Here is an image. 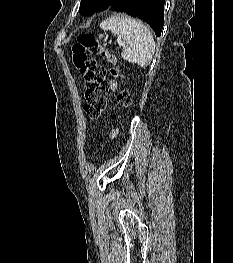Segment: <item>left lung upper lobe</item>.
Listing matches in <instances>:
<instances>
[{
    "mask_svg": "<svg viewBox=\"0 0 233 263\" xmlns=\"http://www.w3.org/2000/svg\"><path fill=\"white\" fill-rule=\"evenodd\" d=\"M115 0H81L80 14L89 15L110 7Z\"/></svg>",
    "mask_w": 233,
    "mask_h": 263,
    "instance_id": "5c2ea615",
    "label": "left lung upper lobe"
}]
</instances>
